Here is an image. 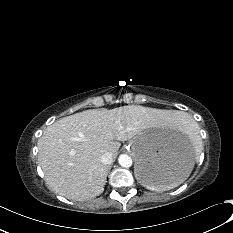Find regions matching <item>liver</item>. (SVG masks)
Here are the masks:
<instances>
[{
  "instance_id": "6515ba94",
  "label": "liver",
  "mask_w": 233,
  "mask_h": 233,
  "mask_svg": "<svg viewBox=\"0 0 233 233\" xmlns=\"http://www.w3.org/2000/svg\"><path fill=\"white\" fill-rule=\"evenodd\" d=\"M185 114L139 105L111 110H85L48 126L38 141V161L49 187L57 194L84 201L102 193L109 167L101 162L113 157L120 141L132 140L149 128L174 124Z\"/></svg>"
}]
</instances>
